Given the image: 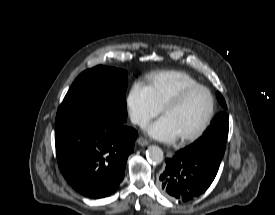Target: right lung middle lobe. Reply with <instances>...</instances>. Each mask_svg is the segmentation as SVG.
I'll return each mask as SVG.
<instances>
[{"instance_id": "dd1d6c3e", "label": "right lung middle lobe", "mask_w": 275, "mask_h": 215, "mask_svg": "<svg viewBox=\"0 0 275 215\" xmlns=\"http://www.w3.org/2000/svg\"><path fill=\"white\" fill-rule=\"evenodd\" d=\"M126 71L96 66L81 73L61 103L56 122L78 119L98 111H107L127 119L125 92Z\"/></svg>"}]
</instances>
